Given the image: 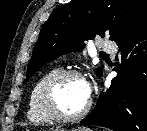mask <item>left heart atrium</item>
I'll list each match as a JSON object with an SVG mask.
<instances>
[{"instance_id":"39dd6f15","label":"left heart atrium","mask_w":147,"mask_h":131,"mask_svg":"<svg viewBox=\"0 0 147 131\" xmlns=\"http://www.w3.org/2000/svg\"><path fill=\"white\" fill-rule=\"evenodd\" d=\"M84 88H85L87 98L90 99L91 94H92V85H91V83L88 82V81H84Z\"/></svg>"}]
</instances>
